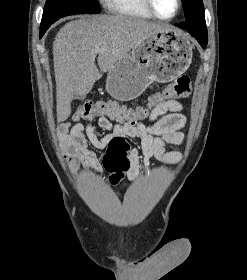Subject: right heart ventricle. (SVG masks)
Segmentation results:
<instances>
[{"mask_svg":"<svg viewBox=\"0 0 247 280\" xmlns=\"http://www.w3.org/2000/svg\"><path fill=\"white\" fill-rule=\"evenodd\" d=\"M106 4L109 11L115 15L141 19L153 18L143 0H106Z\"/></svg>","mask_w":247,"mask_h":280,"instance_id":"right-heart-ventricle-1","label":"right heart ventricle"}]
</instances>
